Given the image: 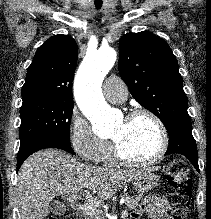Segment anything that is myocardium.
I'll use <instances>...</instances> for the list:
<instances>
[{
  "instance_id": "obj_1",
  "label": "myocardium",
  "mask_w": 211,
  "mask_h": 219,
  "mask_svg": "<svg viewBox=\"0 0 211 219\" xmlns=\"http://www.w3.org/2000/svg\"><path fill=\"white\" fill-rule=\"evenodd\" d=\"M141 116H146V117L150 118L156 124V126L159 130L160 144H159L158 151L156 152V154L154 156H152L149 159L135 160V159H131V158L125 156L122 153V151L119 148L116 141L112 140L113 155H114L115 159L123 165L132 166V167L151 166V165L159 162L164 157V155L168 149V145H169L168 131H167V128H166L164 122L157 114H155L154 112H152L148 109L141 108V109H136V110H133L132 112H130L126 116L125 120L131 121V120H134V119L141 117Z\"/></svg>"
}]
</instances>
